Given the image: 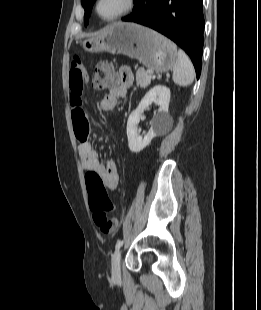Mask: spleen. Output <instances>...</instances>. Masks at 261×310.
<instances>
[{"instance_id": "1", "label": "spleen", "mask_w": 261, "mask_h": 310, "mask_svg": "<svg viewBox=\"0 0 261 310\" xmlns=\"http://www.w3.org/2000/svg\"><path fill=\"white\" fill-rule=\"evenodd\" d=\"M195 70L194 67L182 50L178 51L177 61L173 66V81L179 86H189L194 81Z\"/></svg>"}]
</instances>
